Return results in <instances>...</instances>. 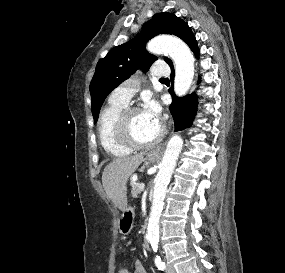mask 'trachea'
Returning a JSON list of instances; mask_svg holds the SVG:
<instances>
[{
  "label": "trachea",
  "instance_id": "trachea-1",
  "mask_svg": "<svg viewBox=\"0 0 285 273\" xmlns=\"http://www.w3.org/2000/svg\"><path fill=\"white\" fill-rule=\"evenodd\" d=\"M160 80H161V81H165V80H168V79H167V78H161Z\"/></svg>",
  "mask_w": 285,
  "mask_h": 273
}]
</instances>
